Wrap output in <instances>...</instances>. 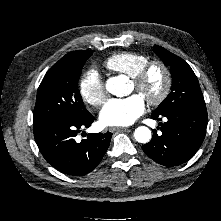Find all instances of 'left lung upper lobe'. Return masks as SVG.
Returning <instances> with one entry per match:
<instances>
[{
	"instance_id": "5c2ea615",
	"label": "left lung upper lobe",
	"mask_w": 221,
	"mask_h": 221,
	"mask_svg": "<svg viewBox=\"0 0 221 221\" xmlns=\"http://www.w3.org/2000/svg\"><path fill=\"white\" fill-rule=\"evenodd\" d=\"M154 52L165 65L170 66L172 87L171 93L153 113L163 114L185 107L206 108L198 79L191 67L183 59L158 45L154 46Z\"/></svg>"
}]
</instances>
